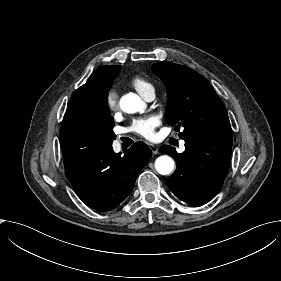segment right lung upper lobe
Masks as SVG:
<instances>
[{"label": "right lung upper lobe", "mask_w": 281, "mask_h": 281, "mask_svg": "<svg viewBox=\"0 0 281 281\" xmlns=\"http://www.w3.org/2000/svg\"><path fill=\"white\" fill-rule=\"evenodd\" d=\"M121 70V66H102L96 69L87 82L78 88L72 94V97L68 103V109L73 111L75 105L80 101V98L84 94H90L91 100L101 104H106L108 98V90L110 89L112 82L117 77Z\"/></svg>", "instance_id": "right-lung-upper-lobe-1"}]
</instances>
